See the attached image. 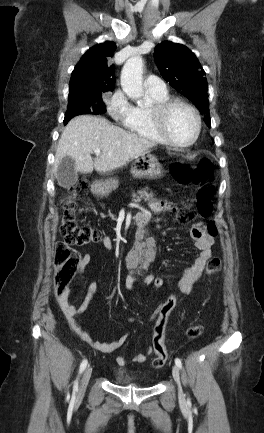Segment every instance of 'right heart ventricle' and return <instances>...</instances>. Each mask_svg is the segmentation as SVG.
<instances>
[{
	"label": "right heart ventricle",
	"instance_id": "obj_1",
	"mask_svg": "<svg viewBox=\"0 0 264 433\" xmlns=\"http://www.w3.org/2000/svg\"><path fill=\"white\" fill-rule=\"evenodd\" d=\"M149 94L153 99L154 104L169 99L167 92L163 94L149 92ZM125 126L131 133L138 137L158 143H165L155 128L150 114V108L135 107V113L132 120Z\"/></svg>",
	"mask_w": 264,
	"mask_h": 433
}]
</instances>
